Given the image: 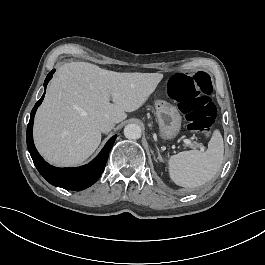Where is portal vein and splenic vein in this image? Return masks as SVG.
Wrapping results in <instances>:
<instances>
[{
    "label": "portal vein and splenic vein",
    "mask_w": 265,
    "mask_h": 265,
    "mask_svg": "<svg viewBox=\"0 0 265 265\" xmlns=\"http://www.w3.org/2000/svg\"><path fill=\"white\" fill-rule=\"evenodd\" d=\"M183 142L185 144H191V141L189 139H184ZM200 148H201V151H204V147L203 146H201Z\"/></svg>",
    "instance_id": "1"
}]
</instances>
